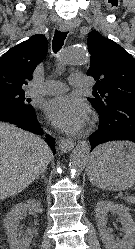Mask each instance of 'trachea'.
I'll return each instance as SVG.
<instances>
[{"label":"trachea","instance_id":"obj_1","mask_svg":"<svg viewBox=\"0 0 135 249\" xmlns=\"http://www.w3.org/2000/svg\"><path fill=\"white\" fill-rule=\"evenodd\" d=\"M67 34L68 32H61L58 30L55 31L53 41H52L53 51L55 53H57L62 48Z\"/></svg>","mask_w":135,"mask_h":249}]
</instances>
